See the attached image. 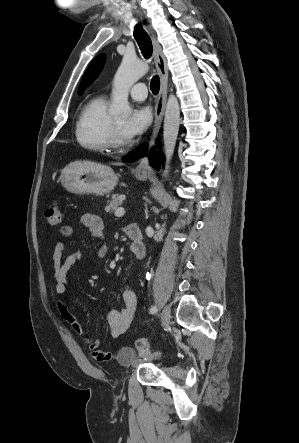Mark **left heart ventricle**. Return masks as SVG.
I'll list each match as a JSON object with an SVG mask.
<instances>
[{
	"label": "left heart ventricle",
	"instance_id": "obj_1",
	"mask_svg": "<svg viewBox=\"0 0 299 443\" xmlns=\"http://www.w3.org/2000/svg\"><path fill=\"white\" fill-rule=\"evenodd\" d=\"M114 122L116 123V125L119 127V129L122 132V127H123V125L125 123V119L124 118H118V119H115ZM122 134H123V132H122ZM123 136H124V134H123ZM124 138H126V137L124 136Z\"/></svg>",
	"mask_w": 299,
	"mask_h": 443
}]
</instances>
